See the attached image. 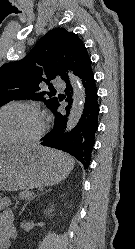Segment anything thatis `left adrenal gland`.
Wrapping results in <instances>:
<instances>
[{
  "label": "left adrenal gland",
  "mask_w": 135,
  "mask_h": 249,
  "mask_svg": "<svg viewBox=\"0 0 135 249\" xmlns=\"http://www.w3.org/2000/svg\"><path fill=\"white\" fill-rule=\"evenodd\" d=\"M49 191H51L50 189H48V190H46L45 192H42V193H40V194H38V195H36V196H34V197H32L26 204H24V206L22 207V209H21V211H20V214L19 215H21L22 213H23V211L25 210V208H26V206L31 202V200H33L34 198H36L37 196H40L41 194H44V193H47V192H49Z\"/></svg>",
  "instance_id": "obj_1"
}]
</instances>
